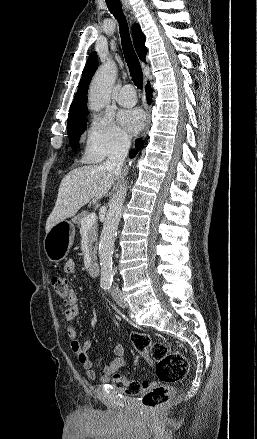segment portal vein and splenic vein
Listing matches in <instances>:
<instances>
[{
	"label": "portal vein and splenic vein",
	"instance_id": "18ae733b",
	"mask_svg": "<svg viewBox=\"0 0 257 439\" xmlns=\"http://www.w3.org/2000/svg\"><path fill=\"white\" fill-rule=\"evenodd\" d=\"M96 220V214L93 212L81 221V228H91Z\"/></svg>",
	"mask_w": 257,
	"mask_h": 439
}]
</instances>
